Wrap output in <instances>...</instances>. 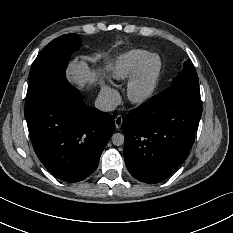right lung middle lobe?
<instances>
[{"mask_svg":"<svg viewBox=\"0 0 233 233\" xmlns=\"http://www.w3.org/2000/svg\"><path fill=\"white\" fill-rule=\"evenodd\" d=\"M80 45L77 34H66L51 41L38 54L30 70L27 108L44 98L65 77L70 56Z\"/></svg>","mask_w":233,"mask_h":233,"instance_id":"1","label":"right lung middle lobe"}]
</instances>
